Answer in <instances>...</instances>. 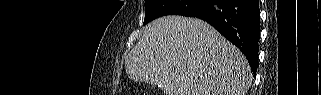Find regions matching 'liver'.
<instances>
[{
    "label": "liver",
    "instance_id": "1",
    "mask_svg": "<svg viewBox=\"0 0 321 95\" xmlns=\"http://www.w3.org/2000/svg\"><path fill=\"white\" fill-rule=\"evenodd\" d=\"M125 70L166 95H246L252 81L238 48L203 20L182 16L149 23L127 54Z\"/></svg>",
    "mask_w": 321,
    "mask_h": 95
}]
</instances>
